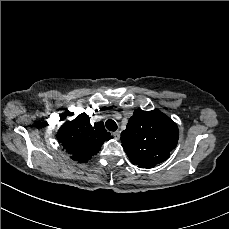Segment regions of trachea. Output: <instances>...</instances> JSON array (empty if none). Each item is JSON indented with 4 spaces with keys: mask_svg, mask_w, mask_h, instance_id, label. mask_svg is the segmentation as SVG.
<instances>
[{
    "mask_svg": "<svg viewBox=\"0 0 229 229\" xmlns=\"http://www.w3.org/2000/svg\"><path fill=\"white\" fill-rule=\"evenodd\" d=\"M105 125H106V128H107L109 131H113V132L116 131L117 128H118L116 122L113 121L112 119L107 120L106 123H105Z\"/></svg>",
    "mask_w": 229,
    "mask_h": 229,
    "instance_id": "trachea-1",
    "label": "trachea"
}]
</instances>
